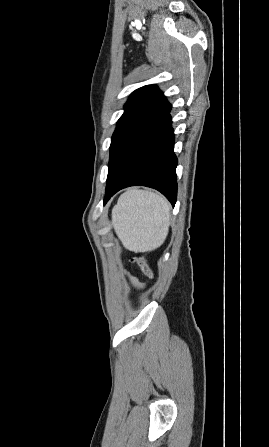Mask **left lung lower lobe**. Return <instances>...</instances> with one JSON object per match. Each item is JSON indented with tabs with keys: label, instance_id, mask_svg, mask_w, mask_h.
<instances>
[{
	"label": "left lung lower lobe",
	"instance_id": "0a47b994",
	"mask_svg": "<svg viewBox=\"0 0 269 447\" xmlns=\"http://www.w3.org/2000/svg\"><path fill=\"white\" fill-rule=\"evenodd\" d=\"M169 112L134 148L114 179L106 185L104 204L119 190L142 185L157 189L172 206L175 205L177 158L173 151L174 134Z\"/></svg>",
	"mask_w": 269,
	"mask_h": 447
}]
</instances>
